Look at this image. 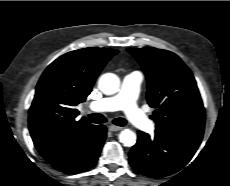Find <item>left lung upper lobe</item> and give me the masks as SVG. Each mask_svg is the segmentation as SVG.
<instances>
[{"instance_id": "left-lung-upper-lobe-1", "label": "left lung upper lobe", "mask_w": 230, "mask_h": 186, "mask_svg": "<svg viewBox=\"0 0 230 186\" xmlns=\"http://www.w3.org/2000/svg\"><path fill=\"white\" fill-rule=\"evenodd\" d=\"M147 78V101L156 130L202 139L205 109L190 69L174 53L150 48H128Z\"/></svg>"}]
</instances>
